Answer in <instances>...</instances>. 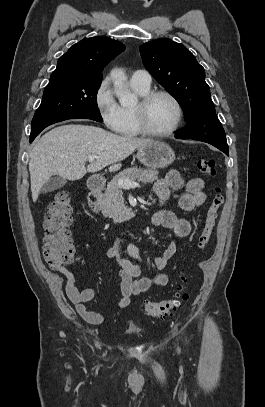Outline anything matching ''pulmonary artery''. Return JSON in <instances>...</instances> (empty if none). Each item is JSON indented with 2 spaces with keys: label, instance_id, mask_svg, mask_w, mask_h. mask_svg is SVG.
<instances>
[{
  "label": "pulmonary artery",
  "instance_id": "e3ab8cb5",
  "mask_svg": "<svg viewBox=\"0 0 265 407\" xmlns=\"http://www.w3.org/2000/svg\"><path fill=\"white\" fill-rule=\"evenodd\" d=\"M130 82L132 85L149 88L152 82V78L149 72L145 70H136L132 73Z\"/></svg>",
  "mask_w": 265,
  "mask_h": 407
}]
</instances>
